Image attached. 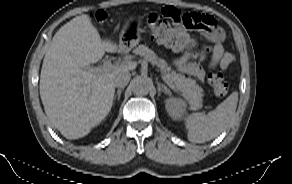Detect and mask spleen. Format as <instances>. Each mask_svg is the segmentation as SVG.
<instances>
[{
  "label": "spleen",
  "instance_id": "obj_1",
  "mask_svg": "<svg viewBox=\"0 0 292 184\" xmlns=\"http://www.w3.org/2000/svg\"><path fill=\"white\" fill-rule=\"evenodd\" d=\"M238 92H233L215 110L208 114L191 113L185 116L187 138L194 143H203L217 137L235 114Z\"/></svg>",
  "mask_w": 292,
  "mask_h": 184
}]
</instances>
